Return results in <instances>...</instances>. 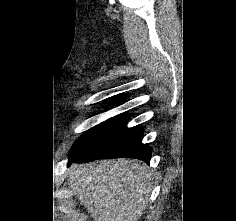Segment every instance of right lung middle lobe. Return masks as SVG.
<instances>
[{
    "label": "right lung middle lobe",
    "mask_w": 236,
    "mask_h": 221,
    "mask_svg": "<svg viewBox=\"0 0 236 221\" xmlns=\"http://www.w3.org/2000/svg\"><path fill=\"white\" fill-rule=\"evenodd\" d=\"M123 97H115L113 99H111L112 101H114L115 103H120L119 100H122ZM103 125H100L99 127L95 128L94 130H92L91 132H88L86 134H84L83 136H81L72 146L71 150H70V155L75 152L85 141H87L99 128H101Z\"/></svg>",
    "instance_id": "right-lung-middle-lobe-1"
}]
</instances>
